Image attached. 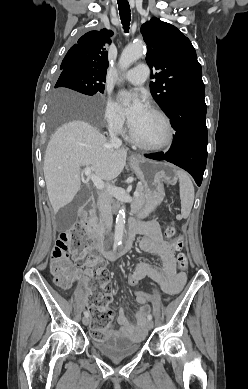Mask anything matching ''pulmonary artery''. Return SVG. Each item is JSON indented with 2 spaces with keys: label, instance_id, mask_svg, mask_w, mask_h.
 <instances>
[{
  "label": "pulmonary artery",
  "instance_id": "e3ab8cb5",
  "mask_svg": "<svg viewBox=\"0 0 248 389\" xmlns=\"http://www.w3.org/2000/svg\"><path fill=\"white\" fill-rule=\"evenodd\" d=\"M149 76V69L147 64H139L136 67L124 73L123 77L126 81L134 84H143Z\"/></svg>",
  "mask_w": 248,
  "mask_h": 389
}]
</instances>
